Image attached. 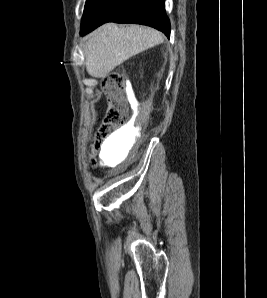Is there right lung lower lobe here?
I'll list each match as a JSON object with an SVG mask.
<instances>
[{"instance_id":"98d812e1","label":"right lung lower lobe","mask_w":267,"mask_h":298,"mask_svg":"<svg viewBox=\"0 0 267 298\" xmlns=\"http://www.w3.org/2000/svg\"><path fill=\"white\" fill-rule=\"evenodd\" d=\"M106 22L148 25L170 37V22L165 13L164 0H106L90 21L81 23L80 35Z\"/></svg>"}]
</instances>
